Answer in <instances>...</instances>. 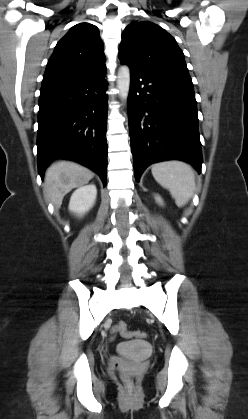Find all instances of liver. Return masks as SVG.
Here are the masks:
<instances>
[{"label": "liver", "instance_id": "6515ba94", "mask_svg": "<svg viewBox=\"0 0 248 419\" xmlns=\"http://www.w3.org/2000/svg\"><path fill=\"white\" fill-rule=\"evenodd\" d=\"M93 176L94 173L91 170L78 163L65 160L56 161L45 172V196L58 208L68 192L88 183Z\"/></svg>", "mask_w": 248, "mask_h": 419}]
</instances>
